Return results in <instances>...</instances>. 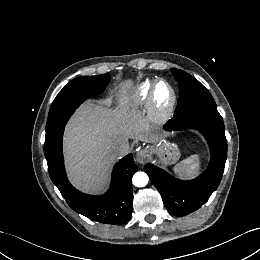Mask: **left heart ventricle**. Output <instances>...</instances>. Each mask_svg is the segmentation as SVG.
Masks as SVG:
<instances>
[{
	"instance_id": "b2bd125f",
	"label": "left heart ventricle",
	"mask_w": 260,
	"mask_h": 260,
	"mask_svg": "<svg viewBox=\"0 0 260 260\" xmlns=\"http://www.w3.org/2000/svg\"><path fill=\"white\" fill-rule=\"evenodd\" d=\"M156 100L161 108H166L171 101V92L163 83L157 88Z\"/></svg>"
}]
</instances>
